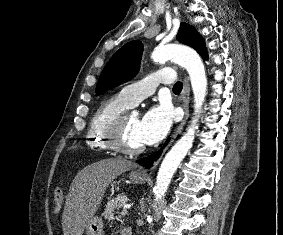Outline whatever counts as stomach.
<instances>
[{"label":"stomach","mask_w":283,"mask_h":235,"mask_svg":"<svg viewBox=\"0 0 283 235\" xmlns=\"http://www.w3.org/2000/svg\"><path fill=\"white\" fill-rule=\"evenodd\" d=\"M129 178L132 182L137 184H143L147 177L143 174H140L138 171H132L129 174ZM86 235H103V221L100 217L94 216L92 217L86 228H85Z\"/></svg>","instance_id":"obj_1"}]
</instances>
